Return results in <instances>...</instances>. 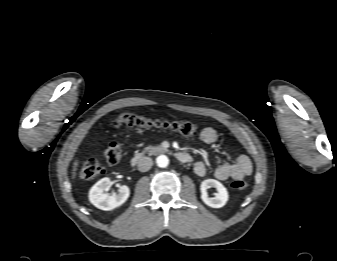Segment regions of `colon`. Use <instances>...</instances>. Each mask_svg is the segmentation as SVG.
<instances>
[{"instance_id": "obj_1", "label": "colon", "mask_w": 337, "mask_h": 261, "mask_svg": "<svg viewBox=\"0 0 337 261\" xmlns=\"http://www.w3.org/2000/svg\"><path fill=\"white\" fill-rule=\"evenodd\" d=\"M115 123L117 126L170 130L187 137H193L198 134V127L191 122L151 119L129 113L119 115ZM104 156L106 161L111 165L119 163L123 156L122 144L116 141L110 142L104 149ZM104 173V167L97 160L90 158L81 163L79 176L83 180H92L102 176ZM230 186L235 190H244L247 187V182L242 178L235 179L231 182Z\"/></svg>"}]
</instances>
